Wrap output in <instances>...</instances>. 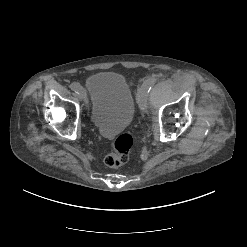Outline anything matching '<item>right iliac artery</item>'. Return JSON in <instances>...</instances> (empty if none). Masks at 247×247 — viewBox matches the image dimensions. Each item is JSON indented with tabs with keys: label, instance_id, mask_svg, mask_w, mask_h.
<instances>
[{
	"label": "right iliac artery",
	"instance_id": "82829eb1",
	"mask_svg": "<svg viewBox=\"0 0 247 247\" xmlns=\"http://www.w3.org/2000/svg\"><path fill=\"white\" fill-rule=\"evenodd\" d=\"M70 88L76 93H79L83 90L82 86L76 82L71 83Z\"/></svg>",
	"mask_w": 247,
	"mask_h": 247
}]
</instances>
